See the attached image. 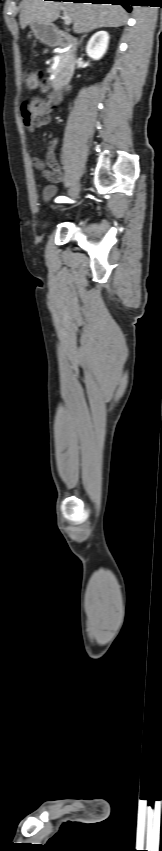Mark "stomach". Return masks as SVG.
Returning <instances> with one entry per match:
<instances>
[{
    "instance_id": "obj_1",
    "label": "stomach",
    "mask_w": 162,
    "mask_h": 851,
    "mask_svg": "<svg viewBox=\"0 0 162 851\" xmlns=\"http://www.w3.org/2000/svg\"><path fill=\"white\" fill-rule=\"evenodd\" d=\"M29 26L34 36L45 44H53L58 40V34L52 24L32 22Z\"/></svg>"
}]
</instances>
